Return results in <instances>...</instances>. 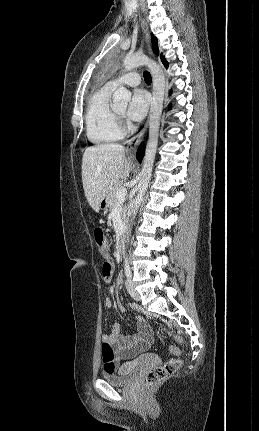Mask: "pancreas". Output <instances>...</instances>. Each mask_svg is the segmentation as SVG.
<instances>
[{
	"label": "pancreas",
	"mask_w": 259,
	"mask_h": 431,
	"mask_svg": "<svg viewBox=\"0 0 259 431\" xmlns=\"http://www.w3.org/2000/svg\"><path fill=\"white\" fill-rule=\"evenodd\" d=\"M119 188H123V184L121 182L115 184L109 191L108 200H109L110 210H113L118 203V199L116 197V192ZM126 212H127L126 206L122 205L120 213H121L123 220H125V218H126Z\"/></svg>",
	"instance_id": "obj_1"
}]
</instances>
